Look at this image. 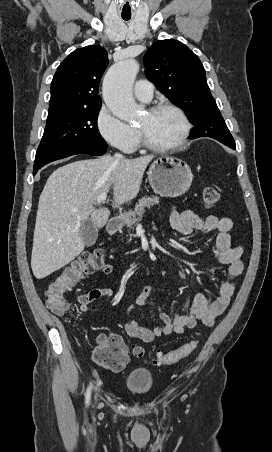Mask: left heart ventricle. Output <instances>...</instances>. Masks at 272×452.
Returning <instances> with one entry per match:
<instances>
[{
    "instance_id": "b2bd125f",
    "label": "left heart ventricle",
    "mask_w": 272,
    "mask_h": 452,
    "mask_svg": "<svg viewBox=\"0 0 272 452\" xmlns=\"http://www.w3.org/2000/svg\"><path fill=\"white\" fill-rule=\"evenodd\" d=\"M147 139L157 145H166L174 142L181 131L179 118L170 111H160L155 114H146L138 123Z\"/></svg>"
}]
</instances>
